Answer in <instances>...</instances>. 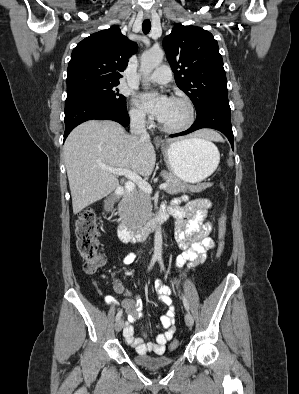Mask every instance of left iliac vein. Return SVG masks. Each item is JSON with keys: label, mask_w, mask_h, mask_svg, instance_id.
Segmentation results:
<instances>
[{"label": "left iliac vein", "mask_w": 299, "mask_h": 394, "mask_svg": "<svg viewBox=\"0 0 299 394\" xmlns=\"http://www.w3.org/2000/svg\"><path fill=\"white\" fill-rule=\"evenodd\" d=\"M185 323L189 327H191L194 323L193 317L189 312L185 314Z\"/></svg>", "instance_id": "1"}]
</instances>
